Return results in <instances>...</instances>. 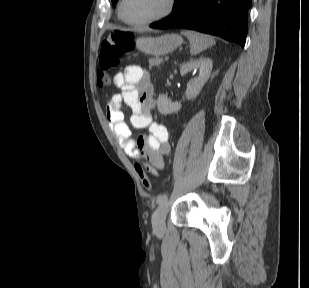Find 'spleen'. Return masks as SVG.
<instances>
[{"instance_id": "3e777b00", "label": "spleen", "mask_w": 309, "mask_h": 288, "mask_svg": "<svg viewBox=\"0 0 309 288\" xmlns=\"http://www.w3.org/2000/svg\"><path fill=\"white\" fill-rule=\"evenodd\" d=\"M181 33L186 36L190 42L191 55H197L205 49L215 45L214 38L209 35L192 30H185Z\"/></svg>"}]
</instances>
